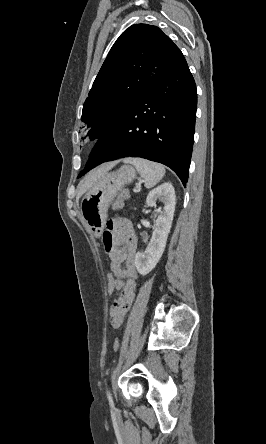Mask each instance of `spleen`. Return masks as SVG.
I'll use <instances>...</instances> for the list:
<instances>
[{
  "label": "spleen",
  "mask_w": 266,
  "mask_h": 444,
  "mask_svg": "<svg viewBox=\"0 0 266 444\" xmlns=\"http://www.w3.org/2000/svg\"><path fill=\"white\" fill-rule=\"evenodd\" d=\"M124 163L134 165L140 176L145 180V187H154L164 176L165 168L163 165L151 162L143 158H126Z\"/></svg>",
  "instance_id": "3e777b00"
}]
</instances>
